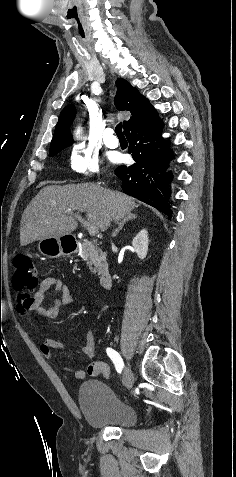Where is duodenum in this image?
I'll return each instance as SVG.
<instances>
[{
	"mask_svg": "<svg viewBox=\"0 0 236 477\" xmlns=\"http://www.w3.org/2000/svg\"><path fill=\"white\" fill-rule=\"evenodd\" d=\"M78 247V242L75 239H65L64 248L68 250H75ZM112 285V276L108 270H103L100 276V286L104 289L110 288Z\"/></svg>",
	"mask_w": 236,
	"mask_h": 477,
	"instance_id": "duodenum-1",
	"label": "duodenum"
}]
</instances>
